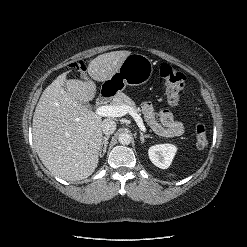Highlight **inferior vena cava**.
Listing matches in <instances>:
<instances>
[{
  "label": "inferior vena cava",
  "instance_id": "602c4592",
  "mask_svg": "<svg viewBox=\"0 0 247 247\" xmlns=\"http://www.w3.org/2000/svg\"><path fill=\"white\" fill-rule=\"evenodd\" d=\"M116 130V123L111 119H105L102 122V131L106 135L113 134Z\"/></svg>",
  "mask_w": 247,
  "mask_h": 247
}]
</instances>
